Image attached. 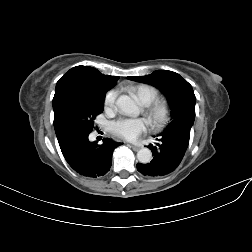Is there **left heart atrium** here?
Returning a JSON list of instances; mask_svg holds the SVG:
<instances>
[{
	"label": "left heart atrium",
	"instance_id": "left-heart-atrium-1",
	"mask_svg": "<svg viewBox=\"0 0 252 252\" xmlns=\"http://www.w3.org/2000/svg\"><path fill=\"white\" fill-rule=\"evenodd\" d=\"M146 128L147 122L143 118H123L111 126V130L116 136L129 141L135 140Z\"/></svg>",
	"mask_w": 252,
	"mask_h": 252
}]
</instances>
